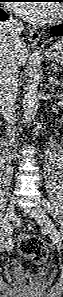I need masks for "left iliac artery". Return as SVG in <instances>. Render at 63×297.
<instances>
[{"mask_svg": "<svg viewBox=\"0 0 63 297\" xmlns=\"http://www.w3.org/2000/svg\"><path fill=\"white\" fill-rule=\"evenodd\" d=\"M43 205L45 208H47V210L49 211L50 210V204L48 202H43Z\"/></svg>", "mask_w": 63, "mask_h": 297, "instance_id": "obj_1", "label": "left iliac artery"}]
</instances>
